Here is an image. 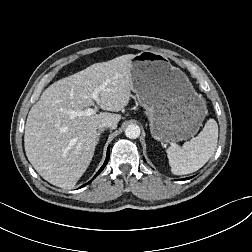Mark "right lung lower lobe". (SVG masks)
I'll list each match as a JSON object with an SVG mask.
<instances>
[{"instance_id": "1", "label": "right lung lower lobe", "mask_w": 252, "mask_h": 252, "mask_svg": "<svg viewBox=\"0 0 252 252\" xmlns=\"http://www.w3.org/2000/svg\"><path fill=\"white\" fill-rule=\"evenodd\" d=\"M108 160H109V148H108V150H107V157H106V160H105L103 166H102V167L100 168V170L96 173V175L93 177V179H94L97 175H99L100 172L104 169V167L106 166ZM93 179H92V180H93ZM92 180H91V181H92ZM91 181H89L87 184H89ZM87 184H85V185H87ZM85 185H83V186H85ZM81 187H82V186H81Z\"/></svg>"}]
</instances>
